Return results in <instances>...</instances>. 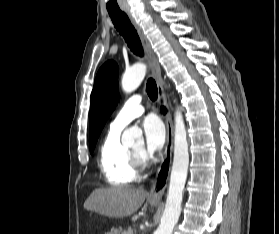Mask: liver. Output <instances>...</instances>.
Listing matches in <instances>:
<instances>
[{
  "mask_svg": "<svg viewBox=\"0 0 279 234\" xmlns=\"http://www.w3.org/2000/svg\"><path fill=\"white\" fill-rule=\"evenodd\" d=\"M146 197L144 189L132 187L96 189L84 202V208L107 217L123 218L135 213Z\"/></svg>",
  "mask_w": 279,
  "mask_h": 234,
  "instance_id": "liver-1",
  "label": "liver"
}]
</instances>
